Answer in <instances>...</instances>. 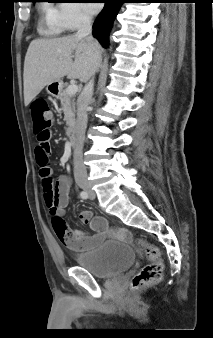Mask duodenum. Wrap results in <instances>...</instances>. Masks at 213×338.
Listing matches in <instances>:
<instances>
[{
    "label": "duodenum",
    "mask_w": 213,
    "mask_h": 338,
    "mask_svg": "<svg viewBox=\"0 0 213 338\" xmlns=\"http://www.w3.org/2000/svg\"><path fill=\"white\" fill-rule=\"evenodd\" d=\"M70 132H71V135H74V133H75V126L71 127Z\"/></svg>",
    "instance_id": "410a0bca"
}]
</instances>
